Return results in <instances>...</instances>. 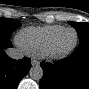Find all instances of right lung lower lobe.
Listing matches in <instances>:
<instances>
[{"label": "right lung lower lobe", "mask_w": 89, "mask_h": 89, "mask_svg": "<svg viewBox=\"0 0 89 89\" xmlns=\"http://www.w3.org/2000/svg\"><path fill=\"white\" fill-rule=\"evenodd\" d=\"M12 47L9 38L0 39V89H16L20 80L29 72L31 60L11 59L4 52V48Z\"/></svg>", "instance_id": "obj_1"}]
</instances>
